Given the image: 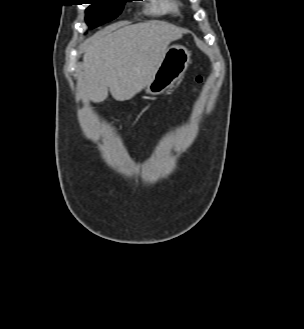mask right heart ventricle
<instances>
[{
    "label": "right heart ventricle",
    "instance_id": "e07e8e85",
    "mask_svg": "<svg viewBox=\"0 0 304 329\" xmlns=\"http://www.w3.org/2000/svg\"><path fill=\"white\" fill-rule=\"evenodd\" d=\"M149 11L155 14H177L178 4L176 0H151Z\"/></svg>",
    "mask_w": 304,
    "mask_h": 329
}]
</instances>
